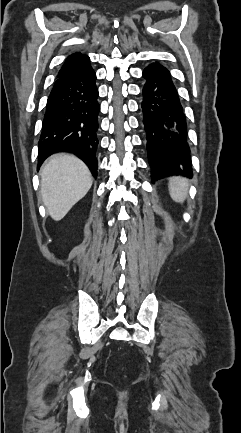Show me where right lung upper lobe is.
Here are the masks:
<instances>
[{"label":"right lung upper lobe","instance_id":"obj_1","mask_svg":"<svg viewBox=\"0 0 241 433\" xmlns=\"http://www.w3.org/2000/svg\"><path fill=\"white\" fill-rule=\"evenodd\" d=\"M86 62H89V57L84 54H81L80 52L70 55L64 62L60 71L58 72L57 77H61L69 73L70 71L74 70L75 68L79 67L80 65Z\"/></svg>","mask_w":241,"mask_h":433}]
</instances>
